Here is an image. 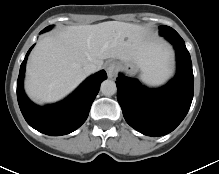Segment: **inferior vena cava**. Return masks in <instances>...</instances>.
I'll return each instance as SVG.
<instances>
[{"instance_id":"1","label":"inferior vena cava","mask_w":219,"mask_h":174,"mask_svg":"<svg viewBox=\"0 0 219 174\" xmlns=\"http://www.w3.org/2000/svg\"><path fill=\"white\" fill-rule=\"evenodd\" d=\"M98 70L97 66L95 64L89 63L84 66V72L88 75L91 73H94Z\"/></svg>"}]
</instances>
